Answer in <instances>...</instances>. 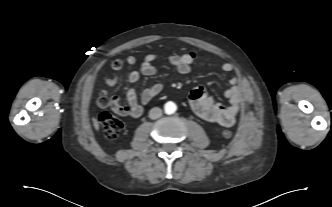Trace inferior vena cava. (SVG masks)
<instances>
[{
    "instance_id": "1",
    "label": "inferior vena cava",
    "mask_w": 332,
    "mask_h": 207,
    "mask_svg": "<svg viewBox=\"0 0 332 207\" xmlns=\"http://www.w3.org/2000/svg\"><path fill=\"white\" fill-rule=\"evenodd\" d=\"M162 116V110L159 107H154L149 112V117L151 119H157Z\"/></svg>"
}]
</instances>
